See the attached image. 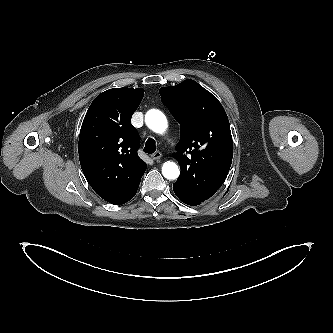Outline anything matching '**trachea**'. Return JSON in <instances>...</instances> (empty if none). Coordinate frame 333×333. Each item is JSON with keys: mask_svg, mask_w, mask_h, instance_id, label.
I'll return each mask as SVG.
<instances>
[{"mask_svg": "<svg viewBox=\"0 0 333 333\" xmlns=\"http://www.w3.org/2000/svg\"><path fill=\"white\" fill-rule=\"evenodd\" d=\"M156 150V143H155V140L152 139V138H149L147 141H146V144H145V147L143 149V151L145 153H148V154H151V153H154Z\"/></svg>", "mask_w": 333, "mask_h": 333, "instance_id": "trachea-1", "label": "trachea"}]
</instances>
